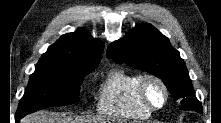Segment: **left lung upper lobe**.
Wrapping results in <instances>:
<instances>
[{
  "mask_svg": "<svg viewBox=\"0 0 221 123\" xmlns=\"http://www.w3.org/2000/svg\"><path fill=\"white\" fill-rule=\"evenodd\" d=\"M106 56L162 79L181 109L201 112L185 62L168 38L150 24H140L111 43Z\"/></svg>",
  "mask_w": 221,
  "mask_h": 123,
  "instance_id": "left-lung-upper-lobe-1",
  "label": "left lung upper lobe"
}]
</instances>
